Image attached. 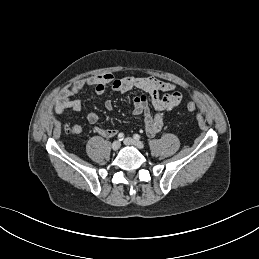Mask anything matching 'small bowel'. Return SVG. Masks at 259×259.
Instances as JSON below:
<instances>
[{"label": "small bowel", "instance_id": "c3829d8e", "mask_svg": "<svg viewBox=\"0 0 259 259\" xmlns=\"http://www.w3.org/2000/svg\"><path fill=\"white\" fill-rule=\"evenodd\" d=\"M85 87H94L97 94L104 93L108 87L119 93H125L134 88L143 91L146 95L136 96L133 100V114L143 116L145 131L150 137L161 131L167 113L177 107L183 98L181 92L172 83L164 82L154 77L125 76L115 78L112 73L105 72L87 78L76 79L66 85L54 103L53 110L57 113H62L66 110L79 111L81 102L73 97ZM149 100L155 111L154 113L149 107ZM105 107L107 110H111L113 108L112 102L110 100L106 101ZM86 120L90 124H96L99 116L96 112H89L86 115ZM47 124H52L51 118H47ZM73 131L75 134H80L82 127L75 125ZM94 131L104 138L113 137L118 132L116 128L99 126L94 127Z\"/></svg>", "mask_w": 259, "mask_h": 259}]
</instances>
